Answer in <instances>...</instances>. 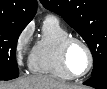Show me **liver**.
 Wrapping results in <instances>:
<instances>
[{
	"mask_svg": "<svg viewBox=\"0 0 107 89\" xmlns=\"http://www.w3.org/2000/svg\"><path fill=\"white\" fill-rule=\"evenodd\" d=\"M0 89H77V87L50 76L33 75L10 83L2 82Z\"/></svg>",
	"mask_w": 107,
	"mask_h": 89,
	"instance_id": "liver-1",
	"label": "liver"
}]
</instances>
